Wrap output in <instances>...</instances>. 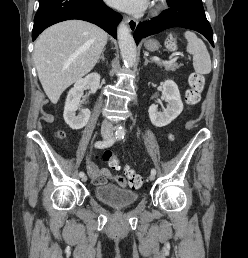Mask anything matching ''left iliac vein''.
Segmentation results:
<instances>
[{
	"instance_id": "left-iliac-vein-1",
	"label": "left iliac vein",
	"mask_w": 248,
	"mask_h": 258,
	"mask_svg": "<svg viewBox=\"0 0 248 258\" xmlns=\"http://www.w3.org/2000/svg\"><path fill=\"white\" fill-rule=\"evenodd\" d=\"M154 179H155V175L151 174V175L149 176V180H150V181H153Z\"/></svg>"
}]
</instances>
